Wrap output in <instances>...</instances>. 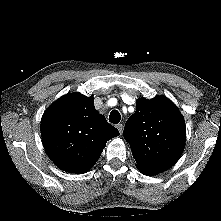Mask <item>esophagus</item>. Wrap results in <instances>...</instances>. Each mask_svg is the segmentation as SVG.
<instances>
[{
    "mask_svg": "<svg viewBox=\"0 0 221 221\" xmlns=\"http://www.w3.org/2000/svg\"><path fill=\"white\" fill-rule=\"evenodd\" d=\"M116 127L119 130L120 134L122 135V133H123V124H117Z\"/></svg>",
    "mask_w": 221,
    "mask_h": 221,
    "instance_id": "esophagus-1",
    "label": "esophagus"
}]
</instances>
